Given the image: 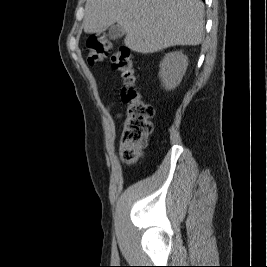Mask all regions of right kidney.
<instances>
[{"mask_svg":"<svg viewBox=\"0 0 267 267\" xmlns=\"http://www.w3.org/2000/svg\"><path fill=\"white\" fill-rule=\"evenodd\" d=\"M188 66V58L182 52H171L165 55L160 63L159 77L166 90L177 87Z\"/></svg>","mask_w":267,"mask_h":267,"instance_id":"1","label":"right kidney"}]
</instances>
